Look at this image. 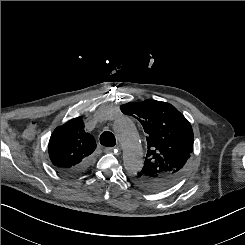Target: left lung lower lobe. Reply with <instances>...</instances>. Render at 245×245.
Wrapping results in <instances>:
<instances>
[{
  "mask_svg": "<svg viewBox=\"0 0 245 245\" xmlns=\"http://www.w3.org/2000/svg\"><path fill=\"white\" fill-rule=\"evenodd\" d=\"M174 181H175V179H173V178L161 179L156 184L155 190H152V191L164 189V188L168 187L169 185H171Z\"/></svg>",
  "mask_w": 245,
  "mask_h": 245,
  "instance_id": "1",
  "label": "left lung lower lobe"
}]
</instances>
